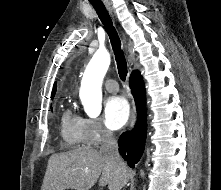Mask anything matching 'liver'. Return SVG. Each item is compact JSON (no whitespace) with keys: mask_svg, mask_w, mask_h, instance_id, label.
<instances>
[{"mask_svg":"<svg viewBox=\"0 0 221 190\" xmlns=\"http://www.w3.org/2000/svg\"><path fill=\"white\" fill-rule=\"evenodd\" d=\"M98 179L100 186L121 190L129 171L125 164L119 167L96 149L79 147L49 158L41 190H89Z\"/></svg>","mask_w":221,"mask_h":190,"instance_id":"1","label":"liver"}]
</instances>
